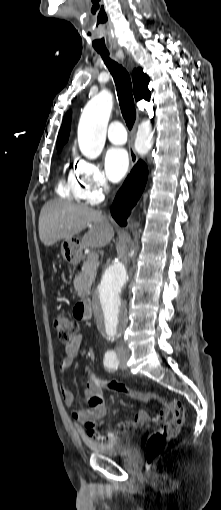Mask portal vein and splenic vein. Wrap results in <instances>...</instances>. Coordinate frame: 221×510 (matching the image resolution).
Wrapping results in <instances>:
<instances>
[{"instance_id": "portal-vein-and-splenic-vein-1", "label": "portal vein and splenic vein", "mask_w": 221, "mask_h": 510, "mask_svg": "<svg viewBox=\"0 0 221 510\" xmlns=\"http://www.w3.org/2000/svg\"><path fill=\"white\" fill-rule=\"evenodd\" d=\"M87 259L91 263L95 262V261H98V255L95 252L89 253Z\"/></svg>"}]
</instances>
